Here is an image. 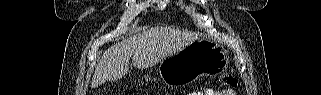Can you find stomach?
I'll list each match as a JSON object with an SVG mask.
<instances>
[{
	"mask_svg": "<svg viewBox=\"0 0 321 95\" xmlns=\"http://www.w3.org/2000/svg\"><path fill=\"white\" fill-rule=\"evenodd\" d=\"M228 67L227 51L218 43L198 39L160 62L159 73L166 84L179 85L205 75H218ZM143 79L148 82L149 76Z\"/></svg>",
	"mask_w": 321,
	"mask_h": 95,
	"instance_id": "0dacf381",
	"label": "stomach"
}]
</instances>
